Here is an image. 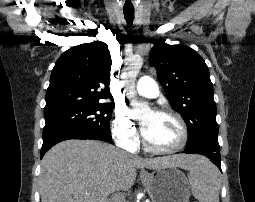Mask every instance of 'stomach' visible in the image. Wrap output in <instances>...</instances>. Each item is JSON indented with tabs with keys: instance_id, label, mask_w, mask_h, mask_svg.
<instances>
[{
	"instance_id": "stomach-1",
	"label": "stomach",
	"mask_w": 255,
	"mask_h": 202,
	"mask_svg": "<svg viewBox=\"0 0 255 202\" xmlns=\"http://www.w3.org/2000/svg\"><path fill=\"white\" fill-rule=\"evenodd\" d=\"M146 191L153 202H189L190 186L177 167H164L152 172Z\"/></svg>"
}]
</instances>
